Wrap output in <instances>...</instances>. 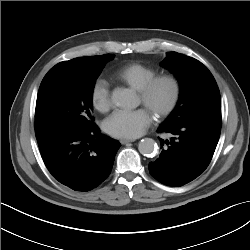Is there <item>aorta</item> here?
Returning a JSON list of instances; mask_svg holds the SVG:
<instances>
[{
    "label": "aorta",
    "instance_id": "obj_1",
    "mask_svg": "<svg viewBox=\"0 0 250 250\" xmlns=\"http://www.w3.org/2000/svg\"><path fill=\"white\" fill-rule=\"evenodd\" d=\"M113 104L121 108H132L135 103L134 94L128 89L117 88L112 92ZM139 152L147 157H153L157 153V143L151 138H144L138 144Z\"/></svg>",
    "mask_w": 250,
    "mask_h": 250
}]
</instances>
